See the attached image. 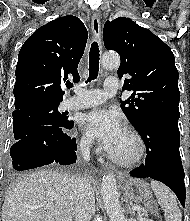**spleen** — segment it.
<instances>
[{"mask_svg":"<svg viewBox=\"0 0 190 221\" xmlns=\"http://www.w3.org/2000/svg\"><path fill=\"white\" fill-rule=\"evenodd\" d=\"M150 185L164 211L165 221H182L181 210L178 207L175 194L160 182L151 181Z\"/></svg>","mask_w":190,"mask_h":221,"instance_id":"1","label":"spleen"}]
</instances>
